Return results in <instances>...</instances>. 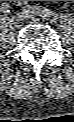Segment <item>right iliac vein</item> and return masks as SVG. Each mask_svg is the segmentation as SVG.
<instances>
[{"instance_id": "1", "label": "right iliac vein", "mask_w": 74, "mask_h": 122, "mask_svg": "<svg viewBox=\"0 0 74 122\" xmlns=\"http://www.w3.org/2000/svg\"><path fill=\"white\" fill-rule=\"evenodd\" d=\"M15 27L20 28L22 26V19L20 16H14L12 18Z\"/></svg>"}]
</instances>
